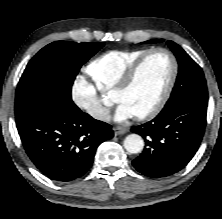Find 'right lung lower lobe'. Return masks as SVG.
<instances>
[{"label": "right lung lower lobe", "mask_w": 222, "mask_h": 219, "mask_svg": "<svg viewBox=\"0 0 222 219\" xmlns=\"http://www.w3.org/2000/svg\"><path fill=\"white\" fill-rule=\"evenodd\" d=\"M16 125L31 161L58 182L83 176L99 144L114 136L109 124L83 113L71 98L63 96L16 117Z\"/></svg>", "instance_id": "1"}]
</instances>
